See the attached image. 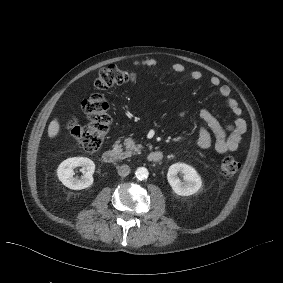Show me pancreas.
<instances>
[{
  "instance_id": "cf45deb5",
  "label": "pancreas",
  "mask_w": 283,
  "mask_h": 283,
  "mask_svg": "<svg viewBox=\"0 0 283 283\" xmlns=\"http://www.w3.org/2000/svg\"><path fill=\"white\" fill-rule=\"evenodd\" d=\"M125 145H126V151L129 152L131 155L133 154H139L141 153L140 150L143 148L140 145H136L133 142L132 138H125Z\"/></svg>"
}]
</instances>
